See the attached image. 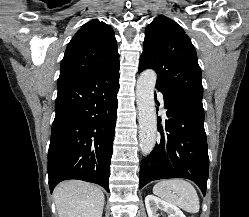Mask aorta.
Segmentation results:
<instances>
[{
    "mask_svg": "<svg viewBox=\"0 0 249 217\" xmlns=\"http://www.w3.org/2000/svg\"><path fill=\"white\" fill-rule=\"evenodd\" d=\"M156 78L155 71L148 69L139 75L136 85L140 149L144 155H149L156 143L157 118L154 102Z\"/></svg>",
    "mask_w": 249,
    "mask_h": 217,
    "instance_id": "aorta-1",
    "label": "aorta"
}]
</instances>
